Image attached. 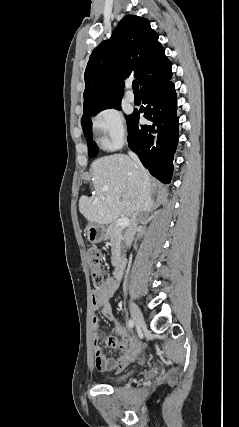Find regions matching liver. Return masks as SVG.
Instances as JSON below:
<instances>
[{
    "instance_id": "6515ba94",
    "label": "liver",
    "mask_w": 239,
    "mask_h": 427,
    "mask_svg": "<svg viewBox=\"0 0 239 427\" xmlns=\"http://www.w3.org/2000/svg\"><path fill=\"white\" fill-rule=\"evenodd\" d=\"M90 173L94 194L81 196L80 213L89 222L101 225L113 223L122 216L132 218L141 182L134 161L122 154L104 156L91 164ZM148 179L150 182L149 176Z\"/></svg>"
}]
</instances>
